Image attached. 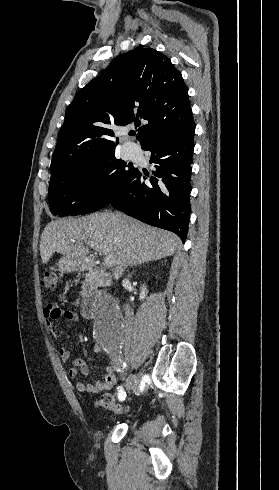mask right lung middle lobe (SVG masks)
<instances>
[{
	"mask_svg": "<svg viewBox=\"0 0 279 490\" xmlns=\"http://www.w3.org/2000/svg\"><path fill=\"white\" fill-rule=\"evenodd\" d=\"M115 149L50 180L49 201L53 215L95 212L107 205L117 190L137 171L116 159Z\"/></svg>",
	"mask_w": 279,
	"mask_h": 490,
	"instance_id": "dd1d6c3e",
	"label": "right lung middle lobe"
}]
</instances>
